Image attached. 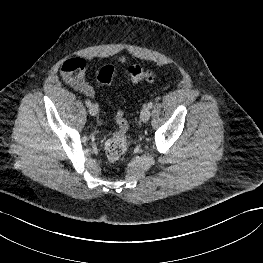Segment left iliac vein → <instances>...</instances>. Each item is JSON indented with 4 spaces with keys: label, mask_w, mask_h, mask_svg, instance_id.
I'll return each mask as SVG.
<instances>
[{
    "label": "left iliac vein",
    "mask_w": 263,
    "mask_h": 263,
    "mask_svg": "<svg viewBox=\"0 0 263 263\" xmlns=\"http://www.w3.org/2000/svg\"><path fill=\"white\" fill-rule=\"evenodd\" d=\"M150 109L148 107H145L142 109L141 113H140V119L142 122H147L150 118Z\"/></svg>",
    "instance_id": "1"
}]
</instances>
